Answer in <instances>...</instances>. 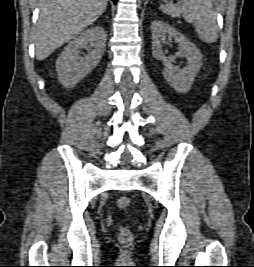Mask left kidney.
<instances>
[{
    "label": "left kidney",
    "mask_w": 254,
    "mask_h": 267,
    "mask_svg": "<svg viewBox=\"0 0 254 267\" xmlns=\"http://www.w3.org/2000/svg\"><path fill=\"white\" fill-rule=\"evenodd\" d=\"M151 34L152 55L164 63L163 75L166 81L177 92H188L202 65V55L199 49L174 27L160 20L152 22ZM166 37L179 43L175 56L166 57L162 51V43L165 42ZM175 57L186 58L187 65L183 69L173 66L172 62Z\"/></svg>",
    "instance_id": "1"
}]
</instances>
